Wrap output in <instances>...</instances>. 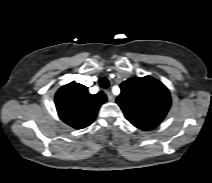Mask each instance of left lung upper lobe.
<instances>
[{
  "instance_id": "5c2ea615",
  "label": "left lung upper lobe",
  "mask_w": 212,
  "mask_h": 183,
  "mask_svg": "<svg viewBox=\"0 0 212 183\" xmlns=\"http://www.w3.org/2000/svg\"><path fill=\"white\" fill-rule=\"evenodd\" d=\"M116 102L128 121L142 130H152L165 118L171 97L168 89L151 76L124 81Z\"/></svg>"
}]
</instances>
